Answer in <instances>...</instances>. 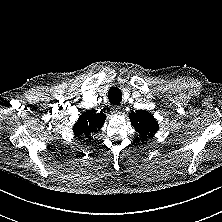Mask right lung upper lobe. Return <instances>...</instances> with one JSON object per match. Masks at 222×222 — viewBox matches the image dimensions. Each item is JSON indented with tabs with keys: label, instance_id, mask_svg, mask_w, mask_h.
<instances>
[{
	"label": "right lung upper lobe",
	"instance_id": "right-lung-upper-lobe-1",
	"mask_svg": "<svg viewBox=\"0 0 222 222\" xmlns=\"http://www.w3.org/2000/svg\"><path fill=\"white\" fill-rule=\"evenodd\" d=\"M97 111L86 110L78 118V121L73 126V132L75 137L86 136L97 133L102 128L106 116L103 113H96Z\"/></svg>",
	"mask_w": 222,
	"mask_h": 222
}]
</instances>
